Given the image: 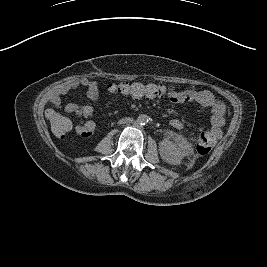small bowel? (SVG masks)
<instances>
[{
    "label": "small bowel",
    "instance_id": "obj_1",
    "mask_svg": "<svg viewBox=\"0 0 267 267\" xmlns=\"http://www.w3.org/2000/svg\"><path fill=\"white\" fill-rule=\"evenodd\" d=\"M80 87L86 90V96L88 99L92 101L99 99L100 92L98 84L92 80L81 79L80 81L70 83L61 94L55 96L53 103L55 105L60 104V98L62 94L73 91ZM170 101L174 104L195 103L210 109V129L205 133L211 137L212 143L221 137L222 127L225 123L224 114L226 108L224 103L216 98L210 91L195 89L177 90L172 93ZM64 110L67 113H79L80 117L84 119V122L77 127L79 133L85 135L88 130L91 131L92 134L95 132L96 124L91 120L94 114L92 106L69 103L65 106ZM54 114H56L54 111L48 112L49 116ZM169 123L174 129L181 130L184 128V122L181 119L173 118Z\"/></svg>",
    "mask_w": 267,
    "mask_h": 267
}]
</instances>
